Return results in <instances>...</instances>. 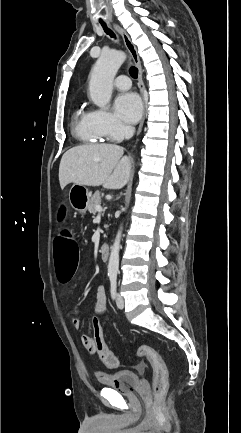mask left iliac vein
I'll return each instance as SVG.
<instances>
[{"label": "left iliac vein", "mask_w": 241, "mask_h": 433, "mask_svg": "<svg viewBox=\"0 0 241 433\" xmlns=\"http://www.w3.org/2000/svg\"><path fill=\"white\" fill-rule=\"evenodd\" d=\"M116 304L118 308L123 309L124 308V298L121 296L120 293H117L116 295Z\"/></svg>", "instance_id": "1"}]
</instances>
